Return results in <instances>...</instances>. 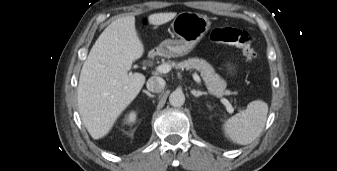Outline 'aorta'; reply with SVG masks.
<instances>
[{"instance_id": "aorta-1", "label": "aorta", "mask_w": 337, "mask_h": 171, "mask_svg": "<svg viewBox=\"0 0 337 171\" xmlns=\"http://www.w3.org/2000/svg\"><path fill=\"white\" fill-rule=\"evenodd\" d=\"M169 102L174 107H180L185 102V96L182 91L175 90L169 96Z\"/></svg>"}]
</instances>
